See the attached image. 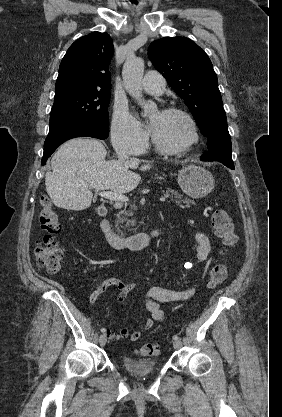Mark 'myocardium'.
<instances>
[{
  "mask_svg": "<svg viewBox=\"0 0 282 417\" xmlns=\"http://www.w3.org/2000/svg\"><path fill=\"white\" fill-rule=\"evenodd\" d=\"M162 113L177 115L183 118L188 126L190 135L187 141L182 144L167 145L163 143L152 130L151 131L152 140L159 149L166 151V152L176 153V152L184 151L198 142L199 136H198L196 124L188 113L177 108H167V109L162 110Z\"/></svg>",
  "mask_w": 282,
  "mask_h": 417,
  "instance_id": "myocardium-1",
  "label": "myocardium"
}]
</instances>
